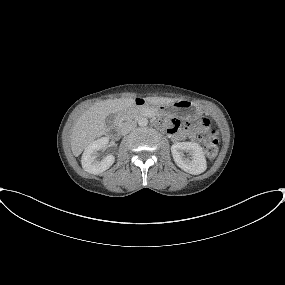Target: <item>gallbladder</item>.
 Wrapping results in <instances>:
<instances>
[{"mask_svg": "<svg viewBox=\"0 0 285 285\" xmlns=\"http://www.w3.org/2000/svg\"><path fill=\"white\" fill-rule=\"evenodd\" d=\"M115 121V115L114 114H109L106 119H105V123L107 126H110L114 123Z\"/></svg>", "mask_w": 285, "mask_h": 285, "instance_id": "bac80fb5", "label": "gallbladder"}]
</instances>
